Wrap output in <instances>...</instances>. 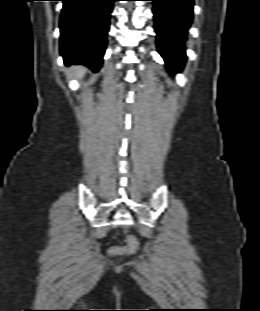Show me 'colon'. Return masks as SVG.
Returning <instances> with one entry per match:
<instances>
[{"label":"colon","mask_w":260,"mask_h":311,"mask_svg":"<svg viewBox=\"0 0 260 311\" xmlns=\"http://www.w3.org/2000/svg\"><path fill=\"white\" fill-rule=\"evenodd\" d=\"M138 249V241L133 236L127 237V246L126 247H116L112 249V253L120 254H131L134 253Z\"/></svg>","instance_id":"1"}]
</instances>
